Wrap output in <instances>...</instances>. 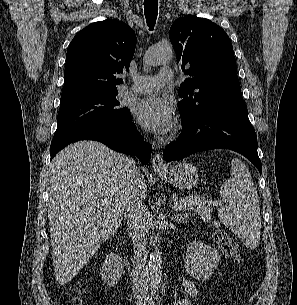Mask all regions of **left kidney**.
<instances>
[{
    "instance_id": "obj_1",
    "label": "left kidney",
    "mask_w": 297,
    "mask_h": 305,
    "mask_svg": "<svg viewBox=\"0 0 297 305\" xmlns=\"http://www.w3.org/2000/svg\"><path fill=\"white\" fill-rule=\"evenodd\" d=\"M220 259L216 249L195 241L187 246L184 266L191 276L197 280L206 281L217 268Z\"/></svg>"
}]
</instances>
